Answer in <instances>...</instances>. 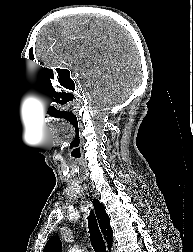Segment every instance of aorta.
<instances>
[{
	"label": "aorta",
	"instance_id": "aorta-1",
	"mask_svg": "<svg viewBox=\"0 0 193 252\" xmlns=\"http://www.w3.org/2000/svg\"><path fill=\"white\" fill-rule=\"evenodd\" d=\"M69 252H82L77 246H73Z\"/></svg>",
	"mask_w": 193,
	"mask_h": 252
}]
</instances>
